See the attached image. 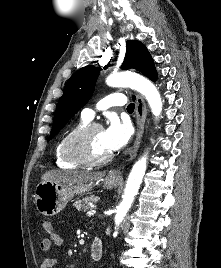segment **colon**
I'll use <instances>...</instances> for the list:
<instances>
[{
	"instance_id": "obj_1",
	"label": "colon",
	"mask_w": 221,
	"mask_h": 268,
	"mask_svg": "<svg viewBox=\"0 0 221 268\" xmlns=\"http://www.w3.org/2000/svg\"><path fill=\"white\" fill-rule=\"evenodd\" d=\"M41 227L48 233L51 232L54 229V225L52 221H50L47 218H42L40 220Z\"/></svg>"
}]
</instances>
